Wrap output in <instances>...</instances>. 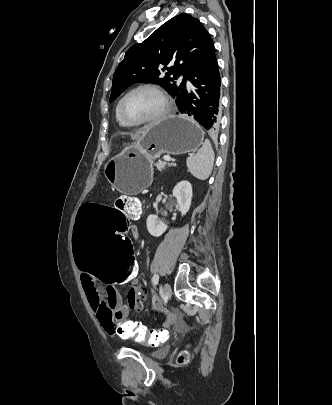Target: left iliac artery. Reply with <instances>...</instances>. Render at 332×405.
I'll use <instances>...</instances> for the list:
<instances>
[{
    "label": "left iliac artery",
    "mask_w": 332,
    "mask_h": 405,
    "mask_svg": "<svg viewBox=\"0 0 332 405\" xmlns=\"http://www.w3.org/2000/svg\"><path fill=\"white\" fill-rule=\"evenodd\" d=\"M153 284L157 285L159 282V276L157 274H155L152 278Z\"/></svg>",
    "instance_id": "44dca946"
}]
</instances>
